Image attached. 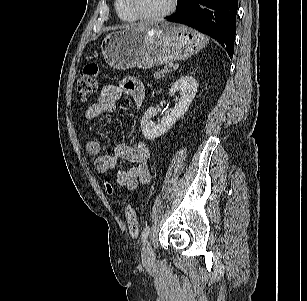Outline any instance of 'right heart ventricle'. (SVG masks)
<instances>
[{"mask_svg": "<svg viewBox=\"0 0 307 301\" xmlns=\"http://www.w3.org/2000/svg\"><path fill=\"white\" fill-rule=\"evenodd\" d=\"M114 5L119 18L122 21L132 23L138 20L130 10L127 0H115Z\"/></svg>", "mask_w": 307, "mask_h": 301, "instance_id": "e07e8e85", "label": "right heart ventricle"}]
</instances>
